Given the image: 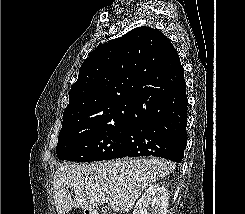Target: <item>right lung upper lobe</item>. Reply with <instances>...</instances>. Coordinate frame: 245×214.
I'll return each mask as SVG.
<instances>
[{
	"label": "right lung upper lobe",
	"instance_id": "cb5924a9",
	"mask_svg": "<svg viewBox=\"0 0 245 214\" xmlns=\"http://www.w3.org/2000/svg\"><path fill=\"white\" fill-rule=\"evenodd\" d=\"M175 54L170 40L150 27L101 44L80 67L63 117L89 125L135 117L149 98L168 86Z\"/></svg>",
	"mask_w": 245,
	"mask_h": 214
}]
</instances>
